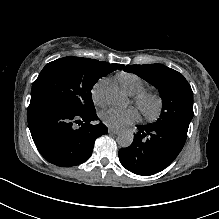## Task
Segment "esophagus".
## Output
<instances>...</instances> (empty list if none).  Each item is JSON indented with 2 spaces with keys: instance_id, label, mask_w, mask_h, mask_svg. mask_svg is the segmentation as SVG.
<instances>
[{
  "instance_id": "34e87169",
  "label": "esophagus",
  "mask_w": 219,
  "mask_h": 219,
  "mask_svg": "<svg viewBox=\"0 0 219 219\" xmlns=\"http://www.w3.org/2000/svg\"><path fill=\"white\" fill-rule=\"evenodd\" d=\"M109 133H110V134H113V135H116V134L119 133V130H117V129H115V128H110V129H109Z\"/></svg>"
}]
</instances>
